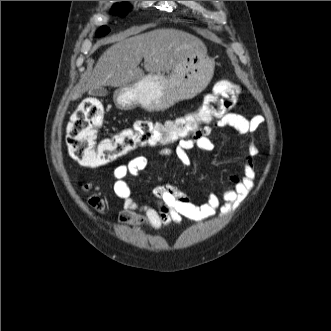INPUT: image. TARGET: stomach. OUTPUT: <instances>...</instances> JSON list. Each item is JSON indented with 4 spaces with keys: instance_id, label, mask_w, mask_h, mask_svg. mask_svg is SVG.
<instances>
[{
    "instance_id": "0dacf381",
    "label": "stomach",
    "mask_w": 331,
    "mask_h": 331,
    "mask_svg": "<svg viewBox=\"0 0 331 331\" xmlns=\"http://www.w3.org/2000/svg\"><path fill=\"white\" fill-rule=\"evenodd\" d=\"M214 67L207 52L195 53L168 76L148 74L119 88L115 93V104L123 110L137 106L149 112L166 110L202 92L212 79Z\"/></svg>"
}]
</instances>
